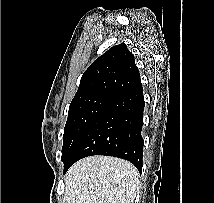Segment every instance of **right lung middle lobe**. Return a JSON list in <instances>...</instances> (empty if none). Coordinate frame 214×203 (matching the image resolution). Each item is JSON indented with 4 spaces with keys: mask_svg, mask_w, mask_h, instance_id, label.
I'll return each mask as SVG.
<instances>
[{
    "mask_svg": "<svg viewBox=\"0 0 214 203\" xmlns=\"http://www.w3.org/2000/svg\"><path fill=\"white\" fill-rule=\"evenodd\" d=\"M111 100V97L104 95H91L72 100L64 128L61 157L63 162L67 160L85 131Z\"/></svg>",
    "mask_w": 214,
    "mask_h": 203,
    "instance_id": "right-lung-middle-lobe-1",
    "label": "right lung middle lobe"
}]
</instances>
